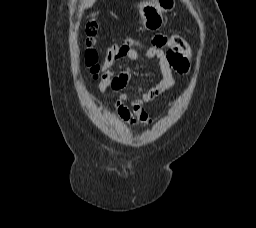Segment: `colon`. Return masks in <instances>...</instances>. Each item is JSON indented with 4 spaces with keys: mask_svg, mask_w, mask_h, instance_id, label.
<instances>
[{
    "mask_svg": "<svg viewBox=\"0 0 256 228\" xmlns=\"http://www.w3.org/2000/svg\"><path fill=\"white\" fill-rule=\"evenodd\" d=\"M100 31V24L97 16L93 14L85 26V46L84 63L88 67L93 78H99L103 75V64L98 62V53L95 49L97 38ZM169 45L180 55L189 59L191 57V48L184 38L179 35L169 37ZM132 42L126 41L122 44H114L110 46L106 52V62H115L117 56L125 47H131ZM104 63V62H103Z\"/></svg>",
    "mask_w": 256,
    "mask_h": 228,
    "instance_id": "1",
    "label": "colon"
}]
</instances>
